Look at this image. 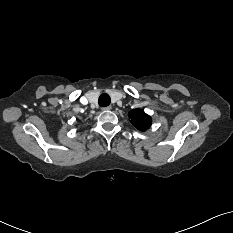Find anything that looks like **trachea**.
<instances>
[{
    "label": "trachea",
    "instance_id": "1",
    "mask_svg": "<svg viewBox=\"0 0 233 233\" xmlns=\"http://www.w3.org/2000/svg\"><path fill=\"white\" fill-rule=\"evenodd\" d=\"M110 96L108 94H101L99 97V105L102 107H106L110 105Z\"/></svg>",
    "mask_w": 233,
    "mask_h": 233
}]
</instances>
